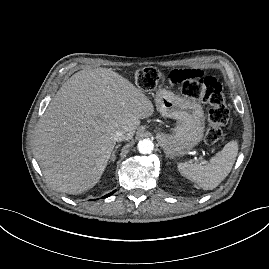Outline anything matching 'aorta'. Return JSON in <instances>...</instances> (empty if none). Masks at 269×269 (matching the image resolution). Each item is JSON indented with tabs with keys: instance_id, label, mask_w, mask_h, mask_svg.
Segmentation results:
<instances>
[{
	"instance_id": "obj_1",
	"label": "aorta",
	"mask_w": 269,
	"mask_h": 269,
	"mask_svg": "<svg viewBox=\"0 0 269 269\" xmlns=\"http://www.w3.org/2000/svg\"><path fill=\"white\" fill-rule=\"evenodd\" d=\"M137 147L141 154H150L154 149V144L150 139H143L138 142Z\"/></svg>"
}]
</instances>
